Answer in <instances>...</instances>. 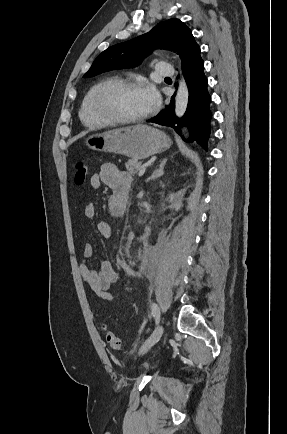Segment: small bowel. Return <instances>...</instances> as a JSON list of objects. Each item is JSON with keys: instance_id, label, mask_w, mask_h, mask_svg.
I'll return each instance as SVG.
<instances>
[{"instance_id": "c3829d8e", "label": "small bowel", "mask_w": 287, "mask_h": 434, "mask_svg": "<svg viewBox=\"0 0 287 434\" xmlns=\"http://www.w3.org/2000/svg\"><path fill=\"white\" fill-rule=\"evenodd\" d=\"M89 185L93 189H98L102 185L110 190L108 198V212L112 217L122 218L126 211L129 190L131 185V175L121 170L113 163H104L100 171L90 177ZM84 216L87 219H95L97 216V205L88 203L84 207ZM98 233L104 238L113 237V227L110 223L99 221L96 224ZM83 260L80 264V273L92 291L104 300L113 299L110 288L117 279L113 266L107 260H101L96 269L89 264L94 256V246L90 242L83 245Z\"/></svg>"}]
</instances>
